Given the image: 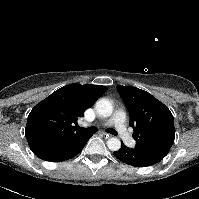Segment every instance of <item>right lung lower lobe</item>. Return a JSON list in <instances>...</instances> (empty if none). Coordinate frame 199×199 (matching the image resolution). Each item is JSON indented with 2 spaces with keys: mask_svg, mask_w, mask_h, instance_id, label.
<instances>
[{
  "mask_svg": "<svg viewBox=\"0 0 199 199\" xmlns=\"http://www.w3.org/2000/svg\"><path fill=\"white\" fill-rule=\"evenodd\" d=\"M91 134H82L72 140L51 146L32 148L34 154L45 161L60 162L68 160L81 152Z\"/></svg>",
  "mask_w": 199,
  "mask_h": 199,
  "instance_id": "98d812e1",
  "label": "right lung lower lobe"
}]
</instances>
